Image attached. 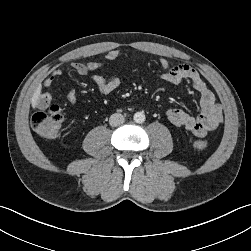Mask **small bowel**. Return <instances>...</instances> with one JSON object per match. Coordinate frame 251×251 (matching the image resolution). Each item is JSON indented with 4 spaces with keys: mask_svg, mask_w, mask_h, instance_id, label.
I'll use <instances>...</instances> for the list:
<instances>
[{
    "mask_svg": "<svg viewBox=\"0 0 251 251\" xmlns=\"http://www.w3.org/2000/svg\"><path fill=\"white\" fill-rule=\"evenodd\" d=\"M119 56L120 52L114 49L107 52L105 58L108 62H112ZM103 65L102 62L91 61L87 64L74 63L72 68L79 75H90L98 90L103 94H109L118 89L121 81L117 76L104 77L98 74L97 70ZM160 66L162 69V80L172 84L188 81L200 96L201 111L199 115L192 116L181 109L169 108L166 111L168 121L175 126L191 131L197 137H203L208 131L216 129L222 122V110L219 104H217L214 94L202 81L198 72L187 64L171 66L167 58L160 59ZM62 74V69L53 70L51 75L42 82L43 87L51 89L56 79L62 76ZM67 97L71 103L77 101L75 90H70ZM51 100L52 95L50 92H42L36 100V106L44 109L51 103Z\"/></svg>",
    "mask_w": 251,
    "mask_h": 251,
    "instance_id": "obj_1",
    "label": "small bowel"
}]
</instances>
